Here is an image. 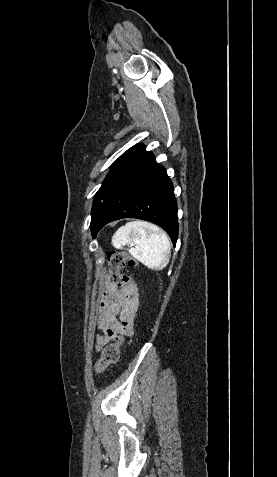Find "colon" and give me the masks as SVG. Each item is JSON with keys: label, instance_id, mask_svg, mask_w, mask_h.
<instances>
[{"label": "colon", "instance_id": "obj_1", "mask_svg": "<svg viewBox=\"0 0 277 477\" xmlns=\"http://www.w3.org/2000/svg\"><path fill=\"white\" fill-rule=\"evenodd\" d=\"M108 265L112 279L122 285L134 282V278L130 275L123 274L121 270L126 267H135L137 262L123 252L111 251L108 253ZM123 343L121 337H116L115 341L106 345L101 353L100 359L95 364V371L102 372L109 365L115 364L119 359L120 347Z\"/></svg>", "mask_w": 277, "mask_h": 477}]
</instances>
